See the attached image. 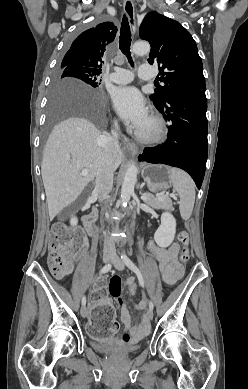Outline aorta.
<instances>
[{"label": "aorta", "instance_id": "obj_1", "mask_svg": "<svg viewBox=\"0 0 248 389\" xmlns=\"http://www.w3.org/2000/svg\"><path fill=\"white\" fill-rule=\"evenodd\" d=\"M133 53L137 55H143L150 52V45L147 42H136L132 47ZM138 169L136 164L132 162L125 173L122 188H121V204L123 207L127 205L132 194L134 193V187L137 181Z\"/></svg>", "mask_w": 248, "mask_h": 389}]
</instances>
